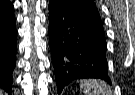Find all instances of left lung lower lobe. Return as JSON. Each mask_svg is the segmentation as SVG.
Segmentation results:
<instances>
[{"label":"left lung lower lobe","mask_w":135,"mask_h":95,"mask_svg":"<svg viewBox=\"0 0 135 95\" xmlns=\"http://www.w3.org/2000/svg\"><path fill=\"white\" fill-rule=\"evenodd\" d=\"M48 33L58 94L77 79L99 78L111 84L102 25L49 4Z\"/></svg>","instance_id":"obj_1"}]
</instances>
